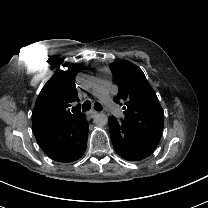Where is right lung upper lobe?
Here are the masks:
<instances>
[{"label": "right lung upper lobe", "instance_id": "cb5924a9", "mask_svg": "<svg viewBox=\"0 0 208 208\" xmlns=\"http://www.w3.org/2000/svg\"><path fill=\"white\" fill-rule=\"evenodd\" d=\"M77 71L78 67L59 70L45 84L32 112V129L60 126L84 116L79 104L72 107L79 101L74 83Z\"/></svg>", "mask_w": 208, "mask_h": 208}]
</instances>
